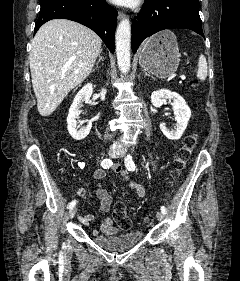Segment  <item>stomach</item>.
I'll use <instances>...</instances> for the list:
<instances>
[{"label": "stomach", "instance_id": "stomach-1", "mask_svg": "<svg viewBox=\"0 0 240 281\" xmlns=\"http://www.w3.org/2000/svg\"><path fill=\"white\" fill-rule=\"evenodd\" d=\"M138 55L141 67L159 78L172 75L180 62L176 36L169 30L159 32L146 40Z\"/></svg>", "mask_w": 240, "mask_h": 281}]
</instances>
